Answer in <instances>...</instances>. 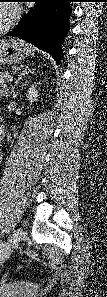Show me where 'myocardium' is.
Listing matches in <instances>:
<instances>
[{"label":"myocardium","instance_id":"1","mask_svg":"<svg viewBox=\"0 0 107 297\" xmlns=\"http://www.w3.org/2000/svg\"><path fill=\"white\" fill-rule=\"evenodd\" d=\"M11 10V15L9 20L2 26H0V34L6 33L12 25L15 23L17 17H18V10L15 6H8Z\"/></svg>","mask_w":107,"mask_h":297}]
</instances>
